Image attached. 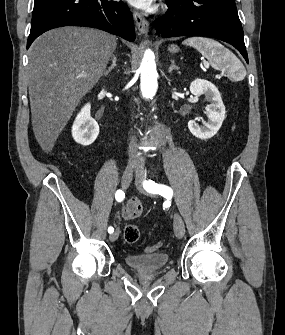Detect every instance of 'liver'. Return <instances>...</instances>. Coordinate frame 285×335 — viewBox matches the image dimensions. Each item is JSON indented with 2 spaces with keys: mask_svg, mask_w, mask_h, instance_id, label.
<instances>
[{
  "mask_svg": "<svg viewBox=\"0 0 285 335\" xmlns=\"http://www.w3.org/2000/svg\"><path fill=\"white\" fill-rule=\"evenodd\" d=\"M116 46L115 36L107 32L75 26L50 30L33 42L27 76L31 120L44 152L53 150L83 96L103 76Z\"/></svg>",
  "mask_w": 285,
  "mask_h": 335,
  "instance_id": "liver-1",
  "label": "liver"
}]
</instances>
